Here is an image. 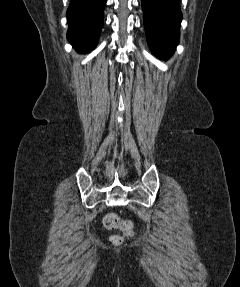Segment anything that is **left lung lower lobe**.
Masks as SVG:
<instances>
[{"label":"left lung lower lobe","instance_id":"left-lung-lower-lobe-1","mask_svg":"<svg viewBox=\"0 0 240 287\" xmlns=\"http://www.w3.org/2000/svg\"><path fill=\"white\" fill-rule=\"evenodd\" d=\"M147 42L159 58L168 59L179 42V0H141Z\"/></svg>","mask_w":240,"mask_h":287}]
</instances>
